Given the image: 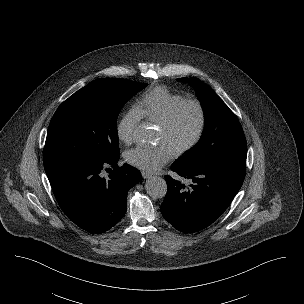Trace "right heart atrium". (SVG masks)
<instances>
[{
	"mask_svg": "<svg viewBox=\"0 0 304 304\" xmlns=\"http://www.w3.org/2000/svg\"><path fill=\"white\" fill-rule=\"evenodd\" d=\"M140 120L141 116L135 108H130L120 117L116 126V132L118 138L123 143H132L134 132Z\"/></svg>",
	"mask_w": 304,
	"mask_h": 304,
	"instance_id": "1",
	"label": "right heart atrium"
}]
</instances>
